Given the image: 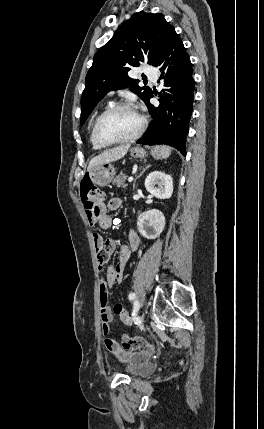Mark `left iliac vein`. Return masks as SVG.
<instances>
[{
	"instance_id": "left-iliac-vein-1",
	"label": "left iliac vein",
	"mask_w": 264,
	"mask_h": 429,
	"mask_svg": "<svg viewBox=\"0 0 264 429\" xmlns=\"http://www.w3.org/2000/svg\"><path fill=\"white\" fill-rule=\"evenodd\" d=\"M144 316H145V313H144V312H141V313L139 314V319L142 321V320L144 319Z\"/></svg>"
}]
</instances>
